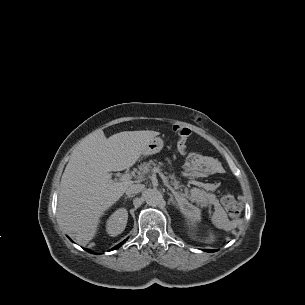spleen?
Returning a JSON list of instances; mask_svg holds the SVG:
<instances>
[{
  "label": "spleen",
  "instance_id": "spleen-1",
  "mask_svg": "<svg viewBox=\"0 0 305 305\" xmlns=\"http://www.w3.org/2000/svg\"><path fill=\"white\" fill-rule=\"evenodd\" d=\"M181 213L183 214V217L189 226V230H193V232H191V235L193 236V234H195L194 231L197 229L198 223L201 222V209L195 207L192 204H188L185 208H182ZM213 221L216 223L218 228H226V219L221 209L215 211V214L213 215ZM208 241H214V236L212 234H210Z\"/></svg>",
  "mask_w": 305,
  "mask_h": 305
}]
</instances>
